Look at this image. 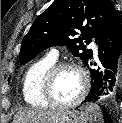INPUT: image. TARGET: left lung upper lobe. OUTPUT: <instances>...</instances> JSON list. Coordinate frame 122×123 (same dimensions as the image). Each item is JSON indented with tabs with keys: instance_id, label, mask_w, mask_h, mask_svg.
<instances>
[{
	"instance_id": "obj_1",
	"label": "left lung upper lobe",
	"mask_w": 122,
	"mask_h": 123,
	"mask_svg": "<svg viewBox=\"0 0 122 123\" xmlns=\"http://www.w3.org/2000/svg\"><path fill=\"white\" fill-rule=\"evenodd\" d=\"M117 13L110 0H55L24 37L19 59L25 64L51 46L67 45L87 66L92 51L83 42H97Z\"/></svg>"
}]
</instances>
